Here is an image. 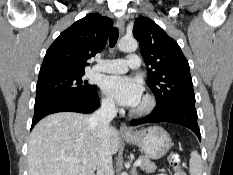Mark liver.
I'll return each mask as SVG.
<instances>
[{
  "instance_id": "6515ba94",
  "label": "liver",
  "mask_w": 233,
  "mask_h": 175,
  "mask_svg": "<svg viewBox=\"0 0 233 175\" xmlns=\"http://www.w3.org/2000/svg\"><path fill=\"white\" fill-rule=\"evenodd\" d=\"M111 153L119 149V135L109 128ZM100 156L97 127L90 116L60 112L43 118L31 132L28 147L29 175H94ZM87 159L88 162H70Z\"/></svg>"
}]
</instances>
